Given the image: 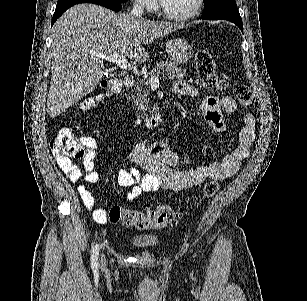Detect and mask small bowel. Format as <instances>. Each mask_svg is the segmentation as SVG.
Segmentation results:
<instances>
[{
    "label": "small bowel",
    "instance_id": "obj_1",
    "mask_svg": "<svg viewBox=\"0 0 307 301\" xmlns=\"http://www.w3.org/2000/svg\"><path fill=\"white\" fill-rule=\"evenodd\" d=\"M174 93L182 96H197L198 91L186 81L178 80L174 84ZM237 104L232 97L208 96L201 105L203 115L210 127L217 133L226 130L224 116H232ZM256 120L252 113L244 116V126L235 130L236 145L221 161L207 166L180 170L173 167L176 161L172 151L162 142L146 146L139 143L133 147L128 159L131 165L120 168L117 174L119 185L130 189L127 199L134 200L142 193L158 190L183 191L198 186L206 179L220 181L234 176L242 161L249 155L250 147L255 140ZM86 154L83 158L85 183H96L99 174L95 168L97 142L92 136H83ZM60 170L73 182L78 184V193L85 208L99 224L107 222V211L96 205L93 194L87 185L81 182V171L70 158L55 154Z\"/></svg>",
    "mask_w": 307,
    "mask_h": 301
}]
</instances>
